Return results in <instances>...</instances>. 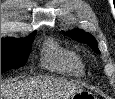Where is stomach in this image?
I'll return each instance as SVG.
<instances>
[{"label": "stomach", "mask_w": 115, "mask_h": 99, "mask_svg": "<svg viewBox=\"0 0 115 99\" xmlns=\"http://www.w3.org/2000/svg\"><path fill=\"white\" fill-rule=\"evenodd\" d=\"M94 98V95L87 90H78L77 92L73 93L69 99H91Z\"/></svg>", "instance_id": "obj_1"}]
</instances>
